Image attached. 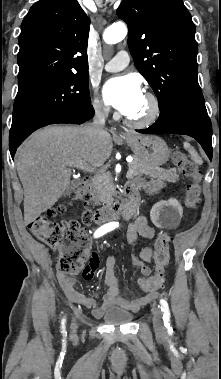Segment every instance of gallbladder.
Segmentation results:
<instances>
[{
	"label": "gallbladder",
	"mask_w": 221,
	"mask_h": 379,
	"mask_svg": "<svg viewBox=\"0 0 221 379\" xmlns=\"http://www.w3.org/2000/svg\"><path fill=\"white\" fill-rule=\"evenodd\" d=\"M68 192H69V189H67V191H66V193H65V194H68Z\"/></svg>",
	"instance_id": "gallbladder-1"
}]
</instances>
